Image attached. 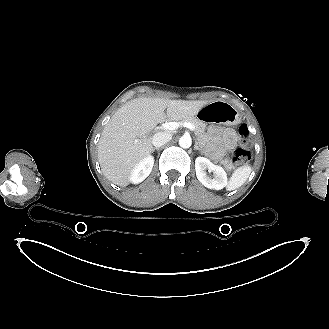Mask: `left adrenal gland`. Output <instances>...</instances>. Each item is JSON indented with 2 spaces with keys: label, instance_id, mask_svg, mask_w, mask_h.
Instances as JSON below:
<instances>
[{
  "label": "left adrenal gland",
  "instance_id": "a2214340",
  "mask_svg": "<svg viewBox=\"0 0 329 329\" xmlns=\"http://www.w3.org/2000/svg\"><path fill=\"white\" fill-rule=\"evenodd\" d=\"M196 150H199L200 151V149H199V147H198V145L196 144L195 145V147H194ZM201 152V151H200ZM202 153V152H201Z\"/></svg>",
  "mask_w": 329,
  "mask_h": 329
}]
</instances>
